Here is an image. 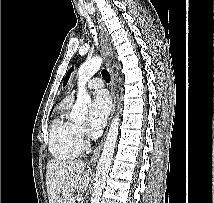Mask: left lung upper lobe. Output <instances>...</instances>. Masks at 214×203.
Here are the masks:
<instances>
[{
    "label": "left lung upper lobe",
    "instance_id": "obj_1",
    "mask_svg": "<svg viewBox=\"0 0 214 203\" xmlns=\"http://www.w3.org/2000/svg\"><path fill=\"white\" fill-rule=\"evenodd\" d=\"M72 70H73V68L69 69V71H68V73H67V75H66V77H65V80H64V82H63V86H65L66 83L68 82V79H69V77H70V74H71V71H72Z\"/></svg>",
    "mask_w": 214,
    "mask_h": 203
}]
</instances>
